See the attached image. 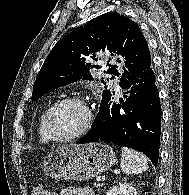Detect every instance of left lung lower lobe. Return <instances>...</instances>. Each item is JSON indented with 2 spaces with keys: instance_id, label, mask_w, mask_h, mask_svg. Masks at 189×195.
<instances>
[{
  "instance_id": "0a47b994",
  "label": "left lung lower lobe",
  "mask_w": 189,
  "mask_h": 195,
  "mask_svg": "<svg viewBox=\"0 0 189 195\" xmlns=\"http://www.w3.org/2000/svg\"><path fill=\"white\" fill-rule=\"evenodd\" d=\"M125 101L101 107L90 132L76 143L102 140L144 153L155 166L160 146L161 106L151 60L120 84Z\"/></svg>"
}]
</instances>
